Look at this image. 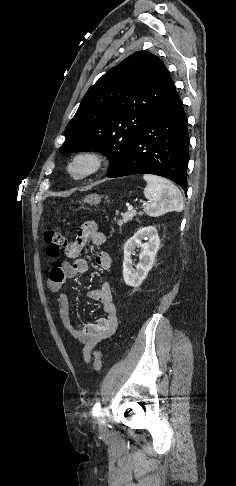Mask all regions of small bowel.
Instances as JSON below:
<instances>
[{
    "instance_id": "obj_1",
    "label": "small bowel",
    "mask_w": 236,
    "mask_h": 486,
    "mask_svg": "<svg viewBox=\"0 0 236 486\" xmlns=\"http://www.w3.org/2000/svg\"><path fill=\"white\" fill-rule=\"evenodd\" d=\"M87 243L102 246L106 243V236L98 230L94 221L83 222L77 231L74 241L65 248V254L73 262L55 260L53 262L49 278L48 288L53 292H59L56 303L63 326L72 337L83 345L84 360L89 363L92 349L103 339L113 335L117 328V308L113 301L111 287L108 283L89 292L92 300L101 303L104 316L91 323L73 325L70 320V302L66 293L61 292L69 278L84 274L88 270L86 260L80 258ZM96 265L102 270H109L112 264L111 257L106 251H100L95 256Z\"/></svg>"
}]
</instances>
